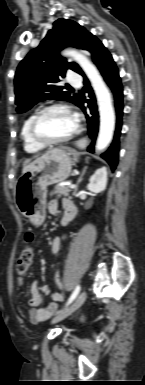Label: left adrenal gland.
I'll return each mask as SVG.
<instances>
[{"mask_svg": "<svg viewBox=\"0 0 145 385\" xmlns=\"http://www.w3.org/2000/svg\"><path fill=\"white\" fill-rule=\"evenodd\" d=\"M86 170H87V166H85V167L83 168L82 174H81L80 178H79L78 181H77V186H76V188H75V190H74V193H73L74 195H75L76 192H77L78 185H79V183L81 182V180H82V178H83V176H84Z\"/></svg>", "mask_w": 145, "mask_h": 385, "instance_id": "a2214340", "label": "left adrenal gland"}]
</instances>
